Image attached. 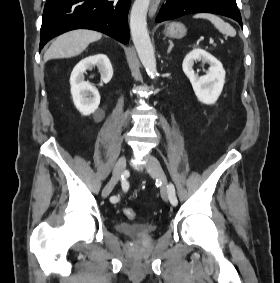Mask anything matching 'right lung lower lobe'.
I'll use <instances>...</instances> for the list:
<instances>
[{
    "mask_svg": "<svg viewBox=\"0 0 280 283\" xmlns=\"http://www.w3.org/2000/svg\"><path fill=\"white\" fill-rule=\"evenodd\" d=\"M131 0H47L44 6L39 50L62 33L91 29L128 43Z\"/></svg>",
    "mask_w": 280,
    "mask_h": 283,
    "instance_id": "obj_1",
    "label": "right lung lower lobe"
}]
</instances>
